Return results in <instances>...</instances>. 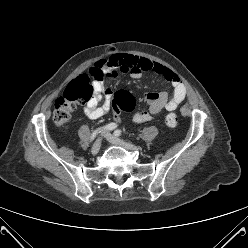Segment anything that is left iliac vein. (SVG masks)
Listing matches in <instances>:
<instances>
[{"label": "left iliac vein", "instance_id": "left-iliac-vein-1", "mask_svg": "<svg viewBox=\"0 0 248 248\" xmlns=\"http://www.w3.org/2000/svg\"><path fill=\"white\" fill-rule=\"evenodd\" d=\"M106 139L111 143V144H114V145H117V146H121L123 148H126V149H130V150H138L139 147L136 146V145H133V144H128L122 140H120L119 138H116L115 136H113L111 133H107L105 135Z\"/></svg>", "mask_w": 248, "mask_h": 248}]
</instances>
